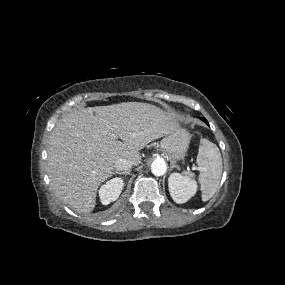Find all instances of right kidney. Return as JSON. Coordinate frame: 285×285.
<instances>
[{
    "instance_id": "right-kidney-1",
    "label": "right kidney",
    "mask_w": 285,
    "mask_h": 285,
    "mask_svg": "<svg viewBox=\"0 0 285 285\" xmlns=\"http://www.w3.org/2000/svg\"><path fill=\"white\" fill-rule=\"evenodd\" d=\"M123 185V179L121 178H113L102 185L99 190V197L102 204L108 205L115 201L119 197Z\"/></svg>"
}]
</instances>
